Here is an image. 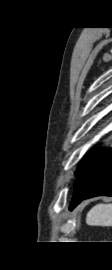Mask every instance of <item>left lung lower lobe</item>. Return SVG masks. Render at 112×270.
Returning a JSON list of instances; mask_svg holds the SVG:
<instances>
[{
  "label": "left lung lower lobe",
  "mask_w": 112,
  "mask_h": 270,
  "mask_svg": "<svg viewBox=\"0 0 112 270\" xmlns=\"http://www.w3.org/2000/svg\"><path fill=\"white\" fill-rule=\"evenodd\" d=\"M74 189L70 210L84 199L112 196V149L76 178Z\"/></svg>",
  "instance_id": "obj_1"
}]
</instances>
